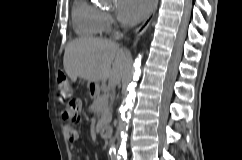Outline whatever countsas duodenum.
Listing matches in <instances>:
<instances>
[{"label":"duodenum","mask_w":242,"mask_h":160,"mask_svg":"<svg viewBox=\"0 0 242 160\" xmlns=\"http://www.w3.org/2000/svg\"><path fill=\"white\" fill-rule=\"evenodd\" d=\"M112 130L111 127L106 126V127H102L99 131L100 137L104 140L109 139V137L111 136Z\"/></svg>","instance_id":"1"}]
</instances>
